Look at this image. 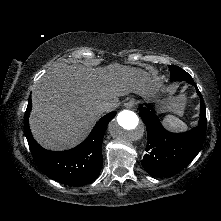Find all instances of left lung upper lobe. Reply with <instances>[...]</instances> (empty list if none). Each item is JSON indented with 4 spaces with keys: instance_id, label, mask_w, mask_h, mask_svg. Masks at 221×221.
I'll return each instance as SVG.
<instances>
[{
    "instance_id": "5c2ea615",
    "label": "left lung upper lobe",
    "mask_w": 221,
    "mask_h": 221,
    "mask_svg": "<svg viewBox=\"0 0 221 221\" xmlns=\"http://www.w3.org/2000/svg\"><path fill=\"white\" fill-rule=\"evenodd\" d=\"M169 69L171 70L170 77L174 81H187L189 78H191L187 72L178 66L169 65Z\"/></svg>"
}]
</instances>
